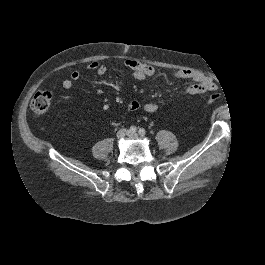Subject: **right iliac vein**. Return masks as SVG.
<instances>
[{
	"instance_id": "63e3f726",
	"label": "right iliac vein",
	"mask_w": 265,
	"mask_h": 265,
	"mask_svg": "<svg viewBox=\"0 0 265 265\" xmlns=\"http://www.w3.org/2000/svg\"><path fill=\"white\" fill-rule=\"evenodd\" d=\"M128 134H129V131L128 130H126V129H120L117 132V135L116 136H117L118 139H122V138H124Z\"/></svg>"
}]
</instances>
